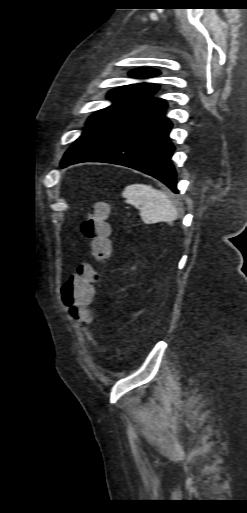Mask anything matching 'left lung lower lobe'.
<instances>
[{
  "mask_svg": "<svg viewBox=\"0 0 247 513\" xmlns=\"http://www.w3.org/2000/svg\"><path fill=\"white\" fill-rule=\"evenodd\" d=\"M156 90L88 123L64 155L61 167L86 161L124 165L157 178L178 193L170 160L175 149L168 137L172 124L164 116L167 103L152 98Z\"/></svg>",
  "mask_w": 247,
  "mask_h": 513,
  "instance_id": "0a47b994",
  "label": "left lung lower lobe"
}]
</instances>
